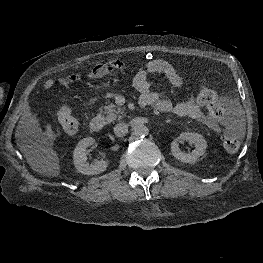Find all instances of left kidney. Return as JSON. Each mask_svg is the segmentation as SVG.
<instances>
[{
  "mask_svg": "<svg viewBox=\"0 0 263 263\" xmlns=\"http://www.w3.org/2000/svg\"><path fill=\"white\" fill-rule=\"evenodd\" d=\"M187 141L195 146V149L190 153H184L179 148V143ZM207 147V142L204 137L198 133L183 132L171 142V152L173 156L185 163H195L202 156Z\"/></svg>",
  "mask_w": 263,
  "mask_h": 263,
  "instance_id": "1",
  "label": "left kidney"
}]
</instances>
